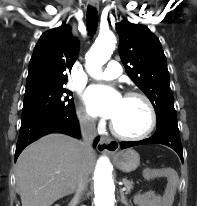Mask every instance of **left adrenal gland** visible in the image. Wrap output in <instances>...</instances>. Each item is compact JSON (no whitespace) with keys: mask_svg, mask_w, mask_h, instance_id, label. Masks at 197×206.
<instances>
[{"mask_svg":"<svg viewBox=\"0 0 197 206\" xmlns=\"http://www.w3.org/2000/svg\"><path fill=\"white\" fill-rule=\"evenodd\" d=\"M120 196H121V200H120L121 203L126 205V206H129L128 202H127V198L125 197L124 192L122 190H120Z\"/></svg>","mask_w":197,"mask_h":206,"instance_id":"a2214340","label":"left adrenal gland"}]
</instances>
